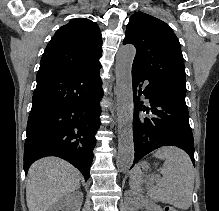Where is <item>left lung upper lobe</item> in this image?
Returning <instances> with one entry per match:
<instances>
[{"label":"left lung upper lobe","mask_w":219,"mask_h":211,"mask_svg":"<svg viewBox=\"0 0 219 211\" xmlns=\"http://www.w3.org/2000/svg\"><path fill=\"white\" fill-rule=\"evenodd\" d=\"M123 44H133L136 56L132 70L185 100V67L181 46L173 30L163 21L143 12L133 14Z\"/></svg>","instance_id":"1"}]
</instances>
